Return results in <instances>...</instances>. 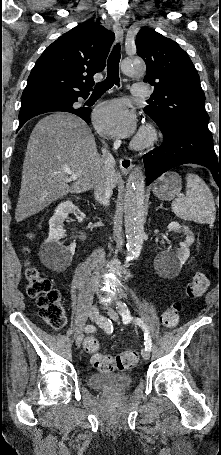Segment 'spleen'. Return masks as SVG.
<instances>
[{"label": "spleen", "instance_id": "obj_1", "mask_svg": "<svg viewBox=\"0 0 221 455\" xmlns=\"http://www.w3.org/2000/svg\"><path fill=\"white\" fill-rule=\"evenodd\" d=\"M186 181V197L176 198L171 204L172 211L185 221L213 223L216 208L211 190L204 180L194 173H188Z\"/></svg>", "mask_w": 221, "mask_h": 455}]
</instances>
